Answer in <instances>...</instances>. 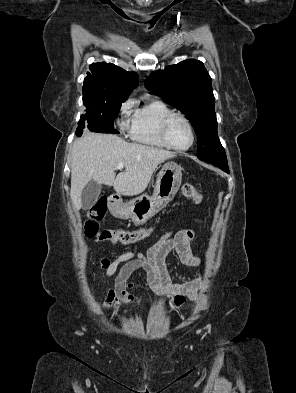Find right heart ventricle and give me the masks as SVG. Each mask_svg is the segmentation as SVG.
I'll list each match as a JSON object with an SVG mask.
<instances>
[{
    "instance_id": "right-heart-ventricle-1",
    "label": "right heart ventricle",
    "mask_w": 296,
    "mask_h": 393,
    "mask_svg": "<svg viewBox=\"0 0 296 393\" xmlns=\"http://www.w3.org/2000/svg\"><path fill=\"white\" fill-rule=\"evenodd\" d=\"M171 112L169 106L160 100L147 101L133 115L130 130L132 140L149 147L168 148L160 137V126Z\"/></svg>"
}]
</instances>
